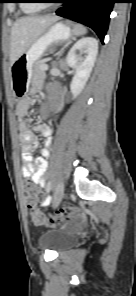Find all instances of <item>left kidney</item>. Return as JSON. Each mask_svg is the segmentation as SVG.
<instances>
[{
	"mask_svg": "<svg viewBox=\"0 0 136 296\" xmlns=\"http://www.w3.org/2000/svg\"><path fill=\"white\" fill-rule=\"evenodd\" d=\"M97 53L98 41L94 37H84L78 40L68 52L66 63L75 69V75L70 84L74 98L84 89L96 61ZM81 54H85V56L81 57Z\"/></svg>",
	"mask_w": 136,
	"mask_h": 296,
	"instance_id": "1",
	"label": "left kidney"
}]
</instances>
